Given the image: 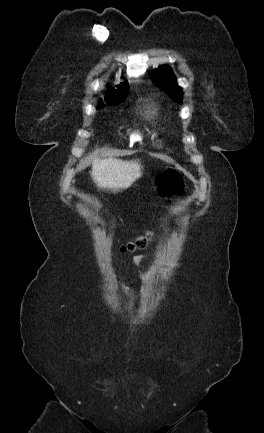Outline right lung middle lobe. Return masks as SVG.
Returning <instances> with one entry per match:
<instances>
[{
    "mask_svg": "<svg viewBox=\"0 0 264 433\" xmlns=\"http://www.w3.org/2000/svg\"><path fill=\"white\" fill-rule=\"evenodd\" d=\"M123 100H124V98L118 99V100H114V101H108L106 103L109 104V105H113V104L121 103ZM104 106H105L104 103H100L97 108L100 109V108H103Z\"/></svg>",
    "mask_w": 264,
    "mask_h": 433,
    "instance_id": "right-lung-middle-lobe-1",
    "label": "right lung middle lobe"
}]
</instances>
